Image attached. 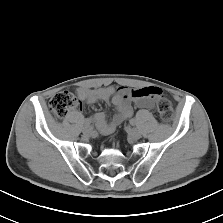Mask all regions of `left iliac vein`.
Here are the masks:
<instances>
[{
	"label": "left iliac vein",
	"instance_id": "4c4485c4",
	"mask_svg": "<svg viewBox=\"0 0 223 223\" xmlns=\"http://www.w3.org/2000/svg\"><path fill=\"white\" fill-rule=\"evenodd\" d=\"M128 135L132 140H138L141 138V132L136 128H129Z\"/></svg>",
	"mask_w": 223,
	"mask_h": 223
}]
</instances>
